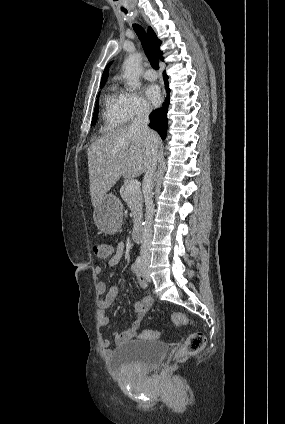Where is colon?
<instances>
[{"instance_id":"5ec220e1","label":"colon","mask_w":285,"mask_h":424,"mask_svg":"<svg viewBox=\"0 0 285 424\" xmlns=\"http://www.w3.org/2000/svg\"><path fill=\"white\" fill-rule=\"evenodd\" d=\"M93 252L95 256L101 259H105L110 257L113 254L112 246L104 241H96L93 244ZM171 319L173 323H175L178 326H185L188 323L187 317L180 313L175 312L172 314ZM159 336V333L156 331H145L143 334V338L145 339H154ZM205 336L201 332H194L190 334L184 344L179 347L176 356L177 357H184V356H191L198 352H200L204 346H205Z\"/></svg>"}]
</instances>
